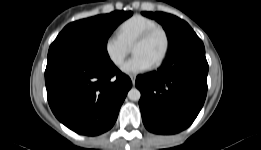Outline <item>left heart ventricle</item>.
<instances>
[{"mask_svg": "<svg viewBox=\"0 0 261 150\" xmlns=\"http://www.w3.org/2000/svg\"><path fill=\"white\" fill-rule=\"evenodd\" d=\"M164 36L161 32L155 33L148 41L137 45L133 49V54L143 56L147 61L154 64L164 50Z\"/></svg>", "mask_w": 261, "mask_h": 150, "instance_id": "b2bd125f", "label": "left heart ventricle"}]
</instances>
